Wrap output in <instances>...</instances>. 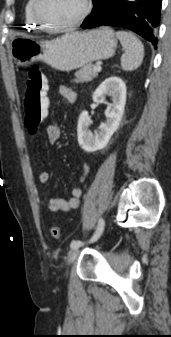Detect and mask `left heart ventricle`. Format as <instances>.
Masks as SVG:
<instances>
[{"mask_svg": "<svg viewBox=\"0 0 171 337\" xmlns=\"http://www.w3.org/2000/svg\"><path fill=\"white\" fill-rule=\"evenodd\" d=\"M83 6V0H42L40 10L47 22L58 25L77 18Z\"/></svg>", "mask_w": 171, "mask_h": 337, "instance_id": "obj_1", "label": "left heart ventricle"}]
</instances>
